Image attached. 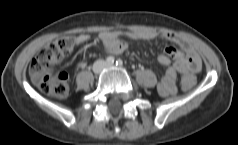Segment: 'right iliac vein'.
I'll return each mask as SVG.
<instances>
[{"label":"right iliac vein","instance_id":"obj_1","mask_svg":"<svg viewBox=\"0 0 238 145\" xmlns=\"http://www.w3.org/2000/svg\"><path fill=\"white\" fill-rule=\"evenodd\" d=\"M103 67H104V63L102 61L97 62L93 67L94 73H99Z\"/></svg>","mask_w":238,"mask_h":145}]
</instances>
